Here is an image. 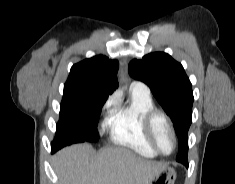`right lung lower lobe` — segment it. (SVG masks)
<instances>
[{
  "mask_svg": "<svg viewBox=\"0 0 235 184\" xmlns=\"http://www.w3.org/2000/svg\"><path fill=\"white\" fill-rule=\"evenodd\" d=\"M57 127H58V125H57ZM52 152H54V151H53V146H52Z\"/></svg>",
  "mask_w": 235,
  "mask_h": 184,
  "instance_id": "98d812e1",
  "label": "right lung lower lobe"
}]
</instances>
